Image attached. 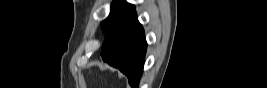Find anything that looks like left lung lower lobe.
<instances>
[{
    "label": "left lung lower lobe",
    "mask_w": 267,
    "mask_h": 88,
    "mask_svg": "<svg viewBox=\"0 0 267 88\" xmlns=\"http://www.w3.org/2000/svg\"><path fill=\"white\" fill-rule=\"evenodd\" d=\"M145 52L144 31L132 10L106 34L101 55L105 62L121 70L130 84L137 87Z\"/></svg>",
    "instance_id": "1"
}]
</instances>
